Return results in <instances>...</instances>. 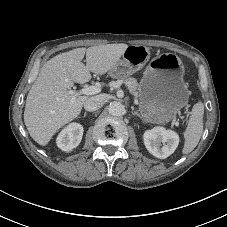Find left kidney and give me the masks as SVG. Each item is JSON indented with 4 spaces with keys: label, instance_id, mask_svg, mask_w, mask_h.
Wrapping results in <instances>:
<instances>
[{
    "label": "left kidney",
    "instance_id": "1",
    "mask_svg": "<svg viewBox=\"0 0 227 227\" xmlns=\"http://www.w3.org/2000/svg\"><path fill=\"white\" fill-rule=\"evenodd\" d=\"M143 139L147 150L159 159H165L170 156L179 144L178 134L163 127H155L146 131Z\"/></svg>",
    "mask_w": 227,
    "mask_h": 227
}]
</instances>
